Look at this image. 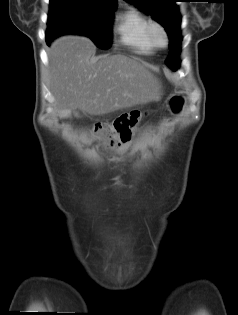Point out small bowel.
<instances>
[{
	"label": "small bowel",
	"instance_id": "small-bowel-1",
	"mask_svg": "<svg viewBox=\"0 0 238 315\" xmlns=\"http://www.w3.org/2000/svg\"><path fill=\"white\" fill-rule=\"evenodd\" d=\"M131 145H132L131 142L120 144V146L118 147L117 151H118L119 153H122V152H124L125 150H127Z\"/></svg>",
	"mask_w": 238,
	"mask_h": 315
}]
</instances>
